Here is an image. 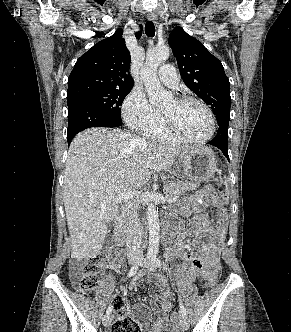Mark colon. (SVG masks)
I'll return each instance as SVG.
<instances>
[{
	"label": "colon",
	"mask_w": 291,
	"mask_h": 332,
	"mask_svg": "<svg viewBox=\"0 0 291 332\" xmlns=\"http://www.w3.org/2000/svg\"><path fill=\"white\" fill-rule=\"evenodd\" d=\"M207 190L211 196L213 204L216 206L219 218L224 221L226 217L225 210L220 204L219 198L212 186ZM109 256L101 253L96 257L82 263H74L70 268V275L76 286L84 292H93L99 283V276L108 262ZM220 276V267L218 264L208 269L205 274V283L207 287L214 286ZM112 306L116 313V322L113 324L112 332H142L140 324L124 313V301L120 296H115L112 300Z\"/></svg>",
	"instance_id": "5ec220e1"
}]
</instances>
